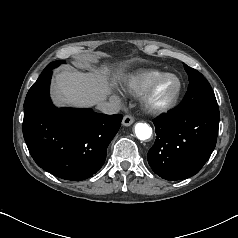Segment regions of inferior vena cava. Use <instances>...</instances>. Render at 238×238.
Wrapping results in <instances>:
<instances>
[{
	"instance_id": "obj_1",
	"label": "inferior vena cava",
	"mask_w": 238,
	"mask_h": 238,
	"mask_svg": "<svg viewBox=\"0 0 238 238\" xmlns=\"http://www.w3.org/2000/svg\"><path fill=\"white\" fill-rule=\"evenodd\" d=\"M97 108L104 114H116L121 108L120 99L117 96H111L108 101L100 102Z\"/></svg>"
}]
</instances>
